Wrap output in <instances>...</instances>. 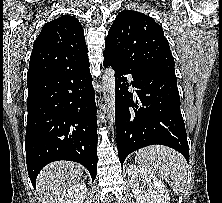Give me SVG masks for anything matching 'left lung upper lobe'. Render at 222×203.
<instances>
[{"mask_svg": "<svg viewBox=\"0 0 222 203\" xmlns=\"http://www.w3.org/2000/svg\"><path fill=\"white\" fill-rule=\"evenodd\" d=\"M104 54L141 69H158L175 74L174 58L163 29L149 16L121 11L106 37Z\"/></svg>", "mask_w": 222, "mask_h": 203, "instance_id": "5c2ea615", "label": "left lung upper lobe"}]
</instances>
